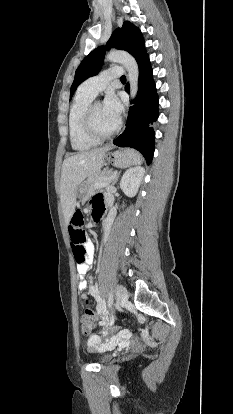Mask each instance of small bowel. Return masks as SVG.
<instances>
[{"mask_svg": "<svg viewBox=\"0 0 233 414\" xmlns=\"http://www.w3.org/2000/svg\"><path fill=\"white\" fill-rule=\"evenodd\" d=\"M95 210H102V198L100 196H96L93 200V212ZM86 248V260L79 264L77 263V270L80 275V281H79V290L82 293V296L85 297L86 292L91 294L93 298L96 300L97 305L95 306V309L99 313H106L107 310H112V305H107V309L104 303L103 298L101 297L96 283L88 284L85 280L84 276L87 273V271L90 269L92 263H93V256H94V247L92 243L87 242L85 245ZM97 337L91 336L89 339L90 343H94L96 341Z\"/></svg>", "mask_w": 233, "mask_h": 414, "instance_id": "1", "label": "small bowel"}]
</instances>
